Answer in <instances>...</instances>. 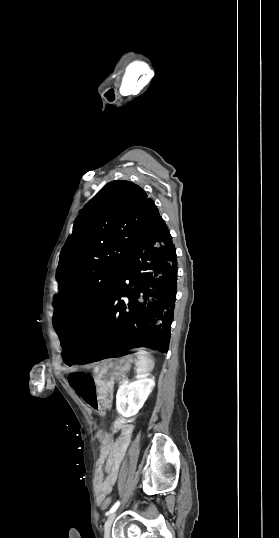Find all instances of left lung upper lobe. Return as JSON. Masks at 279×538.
<instances>
[{
  "mask_svg": "<svg viewBox=\"0 0 279 538\" xmlns=\"http://www.w3.org/2000/svg\"><path fill=\"white\" fill-rule=\"evenodd\" d=\"M158 217L146 192L128 181L108 183L85 206L60 253L59 293L53 303L58 336L92 326L128 258Z\"/></svg>",
  "mask_w": 279,
  "mask_h": 538,
  "instance_id": "left-lung-upper-lobe-1",
  "label": "left lung upper lobe"
}]
</instances>
